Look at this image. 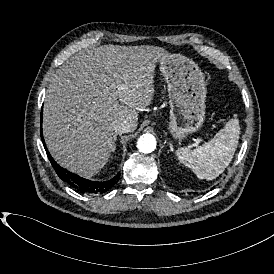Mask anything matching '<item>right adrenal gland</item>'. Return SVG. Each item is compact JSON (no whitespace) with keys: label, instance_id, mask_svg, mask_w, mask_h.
<instances>
[{"label":"right adrenal gland","instance_id":"2a0ac1e0","mask_svg":"<svg viewBox=\"0 0 274 274\" xmlns=\"http://www.w3.org/2000/svg\"><path fill=\"white\" fill-rule=\"evenodd\" d=\"M115 149H116V146L114 147V151H115ZM114 151H113V152H114Z\"/></svg>","mask_w":274,"mask_h":274}]
</instances>
